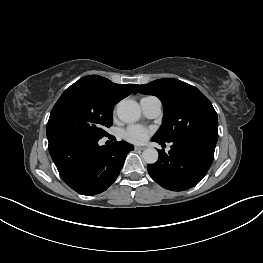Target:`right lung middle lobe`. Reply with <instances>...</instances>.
Instances as JSON below:
<instances>
[{
  "label": "right lung middle lobe",
  "instance_id": "dd1d6c3e",
  "mask_svg": "<svg viewBox=\"0 0 263 263\" xmlns=\"http://www.w3.org/2000/svg\"><path fill=\"white\" fill-rule=\"evenodd\" d=\"M114 106L83 90L63 92L54 105L48 123V142L64 137L101 139L112 125Z\"/></svg>",
  "mask_w": 263,
  "mask_h": 263
}]
</instances>
